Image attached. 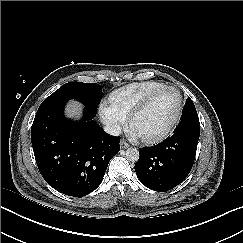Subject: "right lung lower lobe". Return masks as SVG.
<instances>
[{"label":"right lung lower lobe","instance_id":"obj_1","mask_svg":"<svg viewBox=\"0 0 243 243\" xmlns=\"http://www.w3.org/2000/svg\"><path fill=\"white\" fill-rule=\"evenodd\" d=\"M66 102L39 107L32 147L44 180L65 195L82 197L100 185L109 161L120 151V138L107 135L86 108L79 122L65 118Z\"/></svg>","mask_w":243,"mask_h":243}]
</instances>
